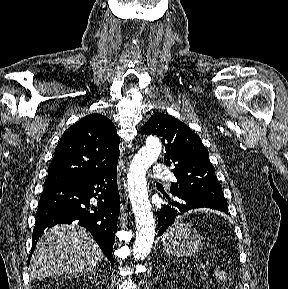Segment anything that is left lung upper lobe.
I'll list each match as a JSON object with an SVG mask.
<instances>
[{"instance_id": "1", "label": "left lung upper lobe", "mask_w": 288, "mask_h": 289, "mask_svg": "<svg viewBox=\"0 0 288 289\" xmlns=\"http://www.w3.org/2000/svg\"><path fill=\"white\" fill-rule=\"evenodd\" d=\"M141 133L162 138L166 150L164 163L175 166L172 172L177 178L171 184L170 193L205 199L227 209L209 152L186 124L169 115L154 114Z\"/></svg>"}]
</instances>
